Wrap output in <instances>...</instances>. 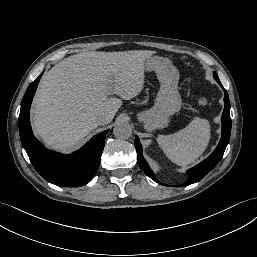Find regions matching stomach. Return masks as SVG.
Masks as SVG:
<instances>
[{"label":"stomach","mask_w":257,"mask_h":257,"mask_svg":"<svg viewBox=\"0 0 257 257\" xmlns=\"http://www.w3.org/2000/svg\"><path fill=\"white\" fill-rule=\"evenodd\" d=\"M145 70L155 71L161 84L154 106L138 114L148 131L164 128L169 116L181 108V97L178 92L179 73L168 58L153 56L145 60Z\"/></svg>","instance_id":"stomach-1"}]
</instances>
